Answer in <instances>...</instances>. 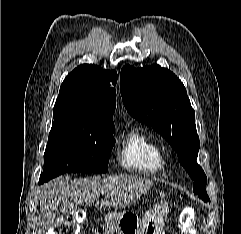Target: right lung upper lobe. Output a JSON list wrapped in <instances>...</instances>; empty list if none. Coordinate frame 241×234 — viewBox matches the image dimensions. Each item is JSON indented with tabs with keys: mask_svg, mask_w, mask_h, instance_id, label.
<instances>
[{
	"mask_svg": "<svg viewBox=\"0 0 241 234\" xmlns=\"http://www.w3.org/2000/svg\"><path fill=\"white\" fill-rule=\"evenodd\" d=\"M117 82L115 71L96 65L83 64L69 73L63 81L53 113H68L79 124L115 127L116 91L110 85Z\"/></svg>",
	"mask_w": 241,
	"mask_h": 234,
	"instance_id": "right-lung-upper-lobe-1",
	"label": "right lung upper lobe"
}]
</instances>
